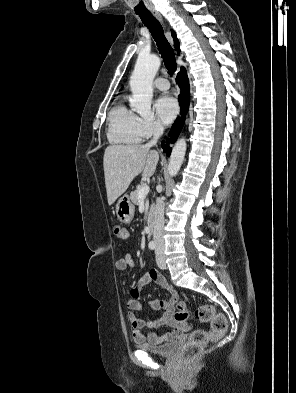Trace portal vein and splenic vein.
<instances>
[{
  "instance_id": "obj_1",
  "label": "portal vein and splenic vein",
  "mask_w": 296,
  "mask_h": 393,
  "mask_svg": "<svg viewBox=\"0 0 296 393\" xmlns=\"http://www.w3.org/2000/svg\"><path fill=\"white\" fill-rule=\"evenodd\" d=\"M149 191H150V188H149V185H144L143 187H142V189L139 191V193H138V198L140 199V200H143L145 197H146V195L149 193Z\"/></svg>"
}]
</instances>
